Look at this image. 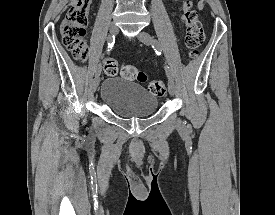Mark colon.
Instances as JSON below:
<instances>
[{
  "label": "colon",
  "instance_id": "colon-1",
  "mask_svg": "<svg viewBox=\"0 0 275 215\" xmlns=\"http://www.w3.org/2000/svg\"><path fill=\"white\" fill-rule=\"evenodd\" d=\"M92 0H76L68 9L65 19L61 24L63 44L72 56L81 62L87 58L86 26L88 24V11ZM191 0H184L182 20L186 26L185 46L191 58H195L198 49L204 42V28L197 18L196 12L192 9ZM104 73L114 76L118 73V62L107 58L102 63ZM122 76L128 80H135L139 83H147V88L156 96L166 94L167 88L163 81L148 80L147 74L136 66L126 64L121 69Z\"/></svg>",
  "mask_w": 275,
  "mask_h": 215
}]
</instances>
